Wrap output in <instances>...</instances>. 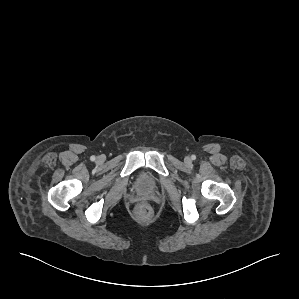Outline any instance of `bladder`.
Masks as SVG:
<instances>
[{
    "instance_id": "1",
    "label": "bladder",
    "mask_w": 299,
    "mask_h": 299,
    "mask_svg": "<svg viewBox=\"0 0 299 299\" xmlns=\"http://www.w3.org/2000/svg\"><path fill=\"white\" fill-rule=\"evenodd\" d=\"M157 186V179L148 171H141L135 178V187L140 192L153 191Z\"/></svg>"
}]
</instances>
